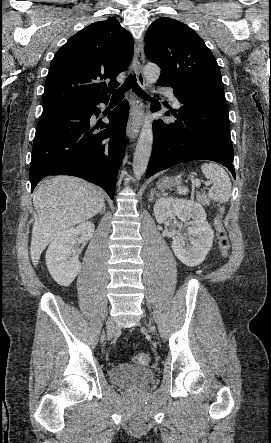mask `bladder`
<instances>
[{"mask_svg": "<svg viewBox=\"0 0 271 443\" xmlns=\"http://www.w3.org/2000/svg\"><path fill=\"white\" fill-rule=\"evenodd\" d=\"M109 378L118 386L136 388L150 383L154 378V371L148 367L122 363L110 369Z\"/></svg>", "mask_w": 271, "mask_h": 443, "instance_id": "31cf9c89", "label": "bladder"}]
</instances>
